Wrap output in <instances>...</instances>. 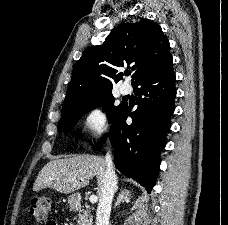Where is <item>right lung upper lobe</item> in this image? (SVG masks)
<instances>
[{
    "label": "right lung upper lobe",
    "instance_id": "cb5924a9",
    "mask_svg": "<svg viewBox=\"0 0 228 225\" xmlns=\"http://www.w3.org/2000/svg\"><path fill=\"white\" fill-rule=\"evenodd\" d=\"M169 52V41L156 22L143 19L122 23L103 44L87 48L76 62L63 107L112 92L114 84L123 77L120 68L126 65L135 70L134 86Z\"/></svg>",
    "mask_w": 228,
    "mask_h": 225
}]
</instances>
